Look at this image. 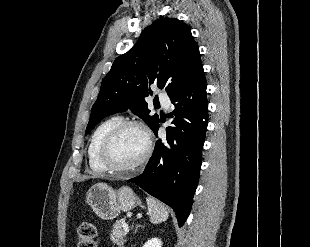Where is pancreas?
<instances>
[{
  "instance_id": "pancreas-1",
  "label": "pancreas",
  "mask_w": 310,
  "mask_h": 247,
  "mask_svg": "<svg viewBox=\"0 0 310 247\" xmlns=\"http://www.w3.org/2000/svg\"><path fill=\"white\" fill-rule=\"evenodd\" d=\"M123 224L122 221H117L113 225V230L110 234L111 241L118 246H122L126 241L125 237L127 233L123 230Z\"/></svg>"
}]
</instances>
